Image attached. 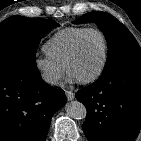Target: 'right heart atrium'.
<instances>
[{
    "instance_id": "right-heart-atrium-1",
    "label": "right heart atrium",
    "mask_w": 141,
    "mask_h": 141,
    "mask_svg": "<svg viewBox=\"0 0 141 141\" xmlns=\"http://www.w3.org/2000/svg\"><path fill=\"white\" fill-rule=\"evenodd\" d=\"M34 66L42 80L50 86L57 85L65 72V67L55 62L48 55L36 56Z\"/></svg>"
}]
</instances>
